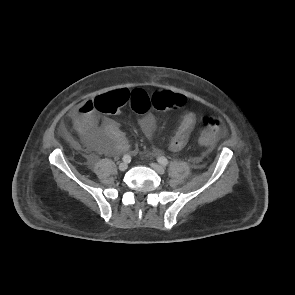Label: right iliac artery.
Instances as JSON below:
<instances>
[{"label":"right iliac artery","instance_id":"obj_1","mask_svg":"<svg viewBox=\"0 0 295 295\" xmlns=\"http://www.w3.org/2000/svg\"><path fill=\"white\" fill-rule=\"evenodd\" d=\"M123 161L126 162V163H129L131 161V157L130 155L126 154L123 156Z\"/></svg>","mask_w":295,"mask_h":295}]
</instances>
